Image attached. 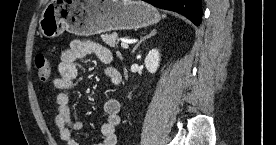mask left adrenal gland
<instances>
[{
    "label": "left adrenal gland",
    "instance_id": "a2214340",
    "mask_svg": "<svg viewBox=\"0 0 276 145\" xmlns=\"http://www.w3.org/2000/svg\"><path fill=\"white\" fill-rule=\"evenodd\" d=\"M156 33H157V31H156L155 29H153L149 35H147V36H145L144 38H142V39L135 45V47H134L133 50H132V53L135 52V50L138 48V46H139L143 41H145L146 39H149L150 37L156 35Z\"/></svg>",
    "mask_w": 276,
    "mask_h": 145
}]
</instances>
